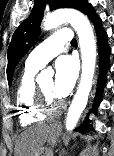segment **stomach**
Here are the masks:
<instances>
[{
	"mask_svg": "<svg viewBox=\"0 0 114 156\" xmlns=\"http://www.w3.org/2000/svg\"><path fill=\"white\" fill-rule=\"evenodd\" d=\"M60 128L56 125H52L48 133V142L51 145H54L57 141ZM36 156H53V151L50 147H42L39 153Z\"/></svg>",
	"mask_w": 114,
	"mask_h": 156,
	"instance_id": "1",
	"label": "stomach"
}]
</instances>
